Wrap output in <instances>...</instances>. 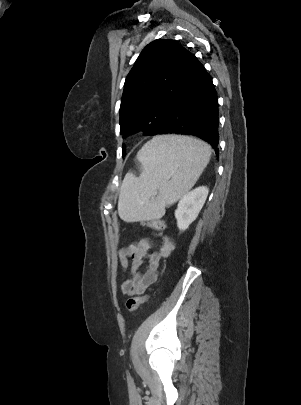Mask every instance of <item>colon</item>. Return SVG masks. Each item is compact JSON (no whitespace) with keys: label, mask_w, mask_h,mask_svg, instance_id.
Segmentation results:
<instances>
[{"label":"colon","mask_w":301,"mask_h":405,"mask_svg":"<svg viewBox=\"0 0 301 405\" xmlns=\"http://www.w3.org/2000/svg\"><path fill=\"white\" fill-rule=\"evenodd\" d=\"M144 225H146L149 228H152L156 231L162 232L166 229V225L163 221L160 220H152L145 222ZM149 299V295H142V296H133L128 298L126 301V308L129 312H134L135 310L138 309L140 305L145 303Z\"/></svg>","instance_id":"obj_1"}]
</instances>
